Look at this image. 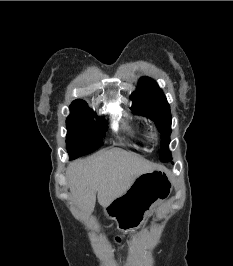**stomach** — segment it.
<instances>
[{
  "instance_id": "stomach-1",
  "label": "stomach",
  "mask_w": 233,
  "mask_h": 266,
  "mask_svg": "<svg viewBox=\"0 0 233 266\" xmlns=\"http://www.w3.org/2000/svg\"><path fill=\"white\" fill-rule=\"evenodd\" d=\"M171 171L163 167L143 173L137 177L125 194L116 196L103 209L107 221H117L114 232H131V228H139L155 205L163 201L170 193L171 182L168 176Z\"/></svg>"
}]
</instances>
